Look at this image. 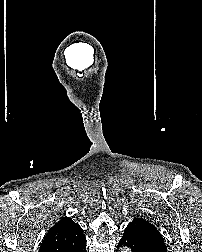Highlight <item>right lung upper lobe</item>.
Returning a JSON list of instances; mask_svg holds the SVG:
<instances>
[{"mask_svg": "<svg viewBox=\"0 0 202 252\" xmlns=\"http://www.w3.org/2000/svg\"><path fill=\"white\" fill-rule=\"evenodd\" d=\"M85 242L82 228L69 217H63L47 232L39 252H81Z\"/></svg>", "mask_w": 202, "mask_h": 252, "instance_id": "1", "label": "right lung upper lobe"}]
</instances>
